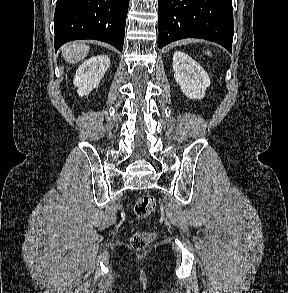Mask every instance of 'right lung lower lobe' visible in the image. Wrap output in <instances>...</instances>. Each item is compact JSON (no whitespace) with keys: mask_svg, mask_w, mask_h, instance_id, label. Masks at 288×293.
<instances>
[{"mask_svg":"<svg viewBox=\"0 0 288 293\" xmlns=\"http://www.w3.org/2000/svg\"><path fill=\"white\" fill-rule=\"evenodd\" d=\"M129 0H57L55 49L79 39H94L123 49Z\"/></svg>","mask_w":288,"mask_h":293,"instance_id":"right-lung-lower-lobe-1","label":"right lung lower lobe"}]
</instances>
